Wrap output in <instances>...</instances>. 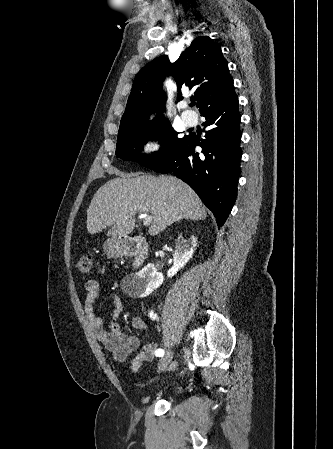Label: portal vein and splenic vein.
Returning a JSON list of instances; mask_svg holds the SVG:
<instances>
[{
	"mask_svg": "<svg viewBox=\"0 0 333 449\" xmlns=\"http://www.w3.org/2000/svg\"><path fill=\"white\" fill-rule=\"evenodd\" d=\"M142 218H143V224H144V225H150V224H151V222H152V216H151V215H149V214H144V215L142 216Z\"/></svg>",
	"mask_w": 333,
	"mask_h": 449,
	"instance_id": "portal-vein-and-splenic-vein-1",
	"label": "portal vein and splenic vein"
}]
</instances>
